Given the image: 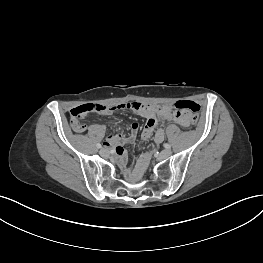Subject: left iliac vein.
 <instances>
[{
  "mask_svg": "<svg viewBox=\"0 0 263 263\" xmlns=\"http://www.w3.org/2000/svg\"><path fill=\"white\" fill-rule=\"evenodd\" d=\"M172 154V151L170 149H165L160 153L161 158L165 159L169 157Z\"/></svg>",
  "mask_w": 263,
  "mask_h": 263,
  "instance_id": "obj_1",
  "label": "left iliac vein"
}]
</instances>
